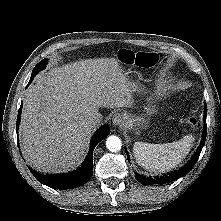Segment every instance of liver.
<instances>
[{
    "instance_id": "obj_1",
    "label": "liver",
    "mask_w": 221,
    "mask_h": 221,
    "mask_svg": "<svg viewBox=\"0 0 221 221\" xmlns=\"http://www.w3.org/2000/svg\"><path fill=\"white\" fill-rule=\"evenodd\" d=\"M135 84L114 58L86 59L36 77L23 99L22 152L38 171L65 173L88 150L89 119L100 108L129 107Z\"/></svg>"
}]
</instances>
